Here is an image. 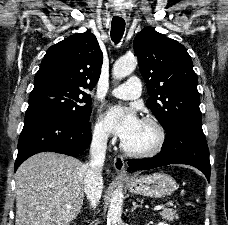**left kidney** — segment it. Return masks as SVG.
<instances>
[{"instance_id": "left-kidney-1", "label": "left kidney", "mask_w": 228, "mask_h": 225, "mask_svg": "<svg viewBox=\"0 0 228 225\" xmlns=\"http://www.w3.org/2000/svg\"><path fill=\"white\" fill-rule=\"evenodd\" d=\"M158 225H165V223H158Z\"/></svg>"}]
</instances>
